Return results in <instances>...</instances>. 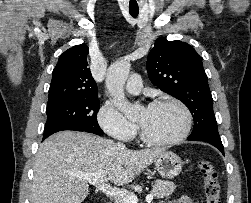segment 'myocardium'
Segmentation results:
<instances>
[{"mask_svg": "<svg viewBox=\"0 0 251 203\" xmlns=\"http://www.w3.org/2000/svg\"><path fill=\"white\" fill-rule=\"evenodd\" d=\"M165 103H172L181 109V111L183 112L184 117H185V123H184L183 129L181 130V132L177 136H175L173 138L166 139V140H157V139H153L150 136H148L147 133L142 128V126L138 123L140 138L144 143H146L148 145L171 146V145H174V144H177V143L183 141L185 138H187V136L190 133L192 123H193V116H192V113H191L190 109L188 108V106L180 99H178L176 97H172V96H165V97H161V98L153 100L148 105V107L158 106V105H162Z\"/></svg>", "mask_w": 251, "mask_h": 203, "instance_id": "myocardium-1", "label": "myocardium"}]
</instances>
